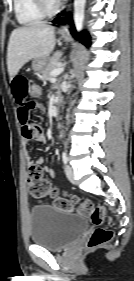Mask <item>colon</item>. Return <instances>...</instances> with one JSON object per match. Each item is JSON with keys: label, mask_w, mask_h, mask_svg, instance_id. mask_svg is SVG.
I'll use <instances>...</instances> for the list:
<instances>
[{"label": "colon", "mask_w": 134, "mask_h": 281, "mask_svg": "<svg viewBox=\"0 0 134 281\" xmlns=\"http://www.w3.org/2000/svg\"><path fill=\"white\" fill-rule=\"evenodd\" d=\"M43 92L39 83L33 82L29 86V95L32 99H38ZM27 185L30 193L35 198H44L47 196H57V190L52 187L50 181L44 177L43 170L38 165H32L28 168ZM78 204L77 210L90 218L95 225H101L105 219V211L102 207L93 204L90 200H79L77 197L71 199L57 197L54 200V206L63 211L74 210V205ZM113 237L110 229L98 227L94 230L88 240L89 247H98L108 243Z\"/></svg>", "instance_id": "5ec220e1"}]
</instances>
